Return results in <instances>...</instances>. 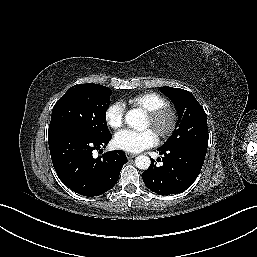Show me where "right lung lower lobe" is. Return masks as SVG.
Listing matches in <instances>:
<instances>
[{
  "mask_svg": "<svg viewBox=\"0 0 257 257\" xmlns=\"http://www.w3.org/2000/svg\"><path fill=\"white\" fill-rule=\"evenodd\" d=\"M110 139L111 134L96 137L75 128L48 132L51 159L60 180L72 191L88 197L110 190L127 162L125 153L116 150L98 158L92 156L93 150L105 147Z\"/></svg>",
  "mask_w": 257,
  "mask_h": 257,
  "instance_id": "1",
  "label": "right lung lower lobe"
}]
</instances>
